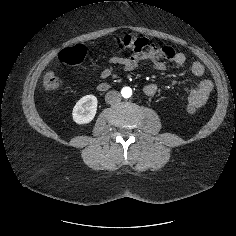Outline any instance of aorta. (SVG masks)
<instances>
[{"label": "aorta", "instance_id": "762f6f07", "mask_svg": "<svg viewBox=\"0 0 236 236\" xmlns=\"http://www.w3.org/2000/svg\"><path fill=\"white\" fill-rule=\"evenodd\" d=\"M121 94L124 98H129L132 95V89L130 87H123Z\"/></svg>", "mask_w": 236, "mask_h": 236}]
</instances>
